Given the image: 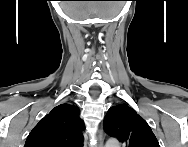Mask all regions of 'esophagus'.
Here are the masks:
<instances>
[{
	"mask_svg": "<svg viewBox=\"0 0 188 147\" xmlns=\"http://www.w3.org/2000/svg\"><path fill=\"white\" fill-rule=\"evenodd\" d=\"M97 138H98L97 147H103V133H102V130H99Z\"/></svg>",
	"mask_w": 188,
	"mask_h": 147,
	"instance_id": "34e87169",
	"label": "esophagus"
}]
</instances>
